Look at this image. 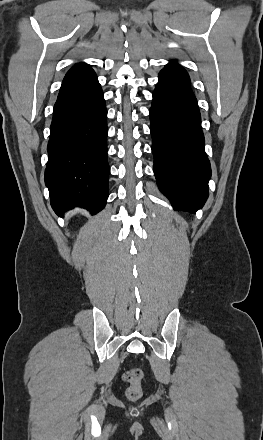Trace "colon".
Masks as SVG:
<instances>
[{
    "mask_svg": "<svg viewBox=\"0 0 263 440\" xmlns=\"http://www.w3.org/2000/svg\"><path fill=\"white\" fill-rule=\"evenodd\" d=\"M142 377V371L138 368L131 369L126 375V380L130 384L127 391V396L131 400H135L141 395L140 382L142 380Z\"/></svg>",
    "mask_w": 263,
    "mask_h": 440,
    "instance_id": "5ec220e1",
    "label": "colon"
}]
</instances>
